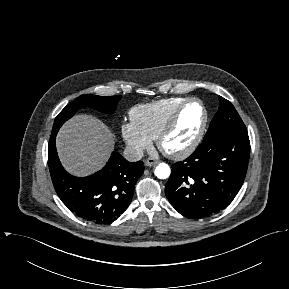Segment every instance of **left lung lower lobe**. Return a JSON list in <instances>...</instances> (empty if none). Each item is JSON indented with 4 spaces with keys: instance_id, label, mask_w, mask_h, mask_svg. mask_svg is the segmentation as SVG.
I'll list each match as a JSON object with an SVG mask.
<instances>
[{
    "instance_id": "obj_1",
    "label": "left lung lower lobe",
    "mask_w": 289,
    "mask_h": 289,
    "mask_svg": "<svg viewBox=\"0 0 289 289\" xmlns=\"http://www.w3.org/2000/svg\"><path fill=\"white\" fill-rule=\"evenodd\" d=\"M249 155L247 132L227 129L206 134L192 155L172 165L166 197L190 219L218 213L240 190Z\"/></svg>"
}]
</instances>
